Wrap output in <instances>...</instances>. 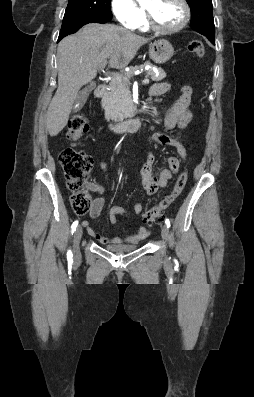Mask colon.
<instances>
[{
    "instance_id": "5ec220e1",
    "label": "colon",
    "mask_w": 254,
    "mask_h": 397,
    "mask_svg": "<svg viewBox=\"0 0 254 397\" xmlns=\"http://www.w3.org/2000/svg\"><path fill=\"white\" fill-rule=\"evenodd\" d=\"M189 51L198 57L204 55V45L200 40H193L189 44ZM89 124L87 118L80 114L71 119L68 125L67 137L70 141L76 142L81 136L87 133ZM60 163L64 170L65 181L71 190V206L77 215L85 214L91 207V198L83 190L93 167L92 158L82 151L72 148L64 149L60 153ZM187 181V172H182L171 192L165 196L153 208L143 214V220L147 224L158 221L163 212L181 195Z\"/></svg>"
}]
</instances>
